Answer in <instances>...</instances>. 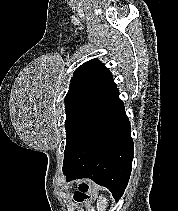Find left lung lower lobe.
I'll use <instances>...</instances> for the list:
<instances>
[{
    "label": "left lung lower lobe",
    "mask_w": 178,
    "mask_h": 211,
    "mask_svg": "<svg viewBox=\"0 0 178 211\" xmlns=\"http://www.w3.org/2000/svg\"><path fill=\"white\" fill-rule=\"evenodd\" d=\"M130 132V122L116 89L103 114L63 162L67 181L92 179L107 187L118 200L132 168L134 146Z\"/></svg>",
    "instance_id": "1"
}]
</instances>
